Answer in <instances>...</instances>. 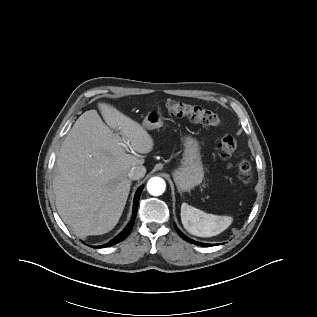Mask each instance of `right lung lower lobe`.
Listing matches in <instances>:
<instances>
[{
    "label": "right lung lower lobe",
    "instance_id": "1",
    "mask_svg": "<svg viewBox=\"0 0 317 317\" xmlns=\"http://www.w3.org/2000/svg\"><path fill=\"white\" fill-rule=\"evenodd\" d=\"M142 189H143V186H140L136 192L135 199H134V207H133V218L130 221V223L127 225V227L119 235H117L113 240L108 242L106 245L93 246V248L109 247L111 245H115V244L121 242L122 240H124L125 238L128 237V235L130 234V232L133 228L134 220H135V217L137 214V209H138L139 197H140Z\"/></svg>",
    "mask_w": 317,
    "mask_h": 317
}]
</instances>
